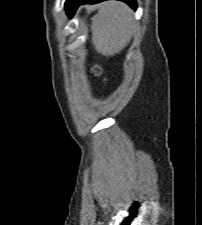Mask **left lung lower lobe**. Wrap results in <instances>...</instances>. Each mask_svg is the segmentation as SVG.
Masks as SVG:
<instances>
[{"instance_id": "obj_1", "label": "left lung lower lobe", "mask_w": 202, "mask_h": 225, "mask_svg": "<svg viewBox=\"0 0 202 225\" xmlns=\"http://www.w3.org/2000/svg\"><path fill=\"white\" fill-rule=\"evenodd\" d=\"M102 1H105V0H77L73 6L74 12L78 8V6L81 4H86V3L94 4V3H99ZM121 1L127 3L131 8L136 9L137 4L135 0H121Z\"/></svg>"}]
</instances>
